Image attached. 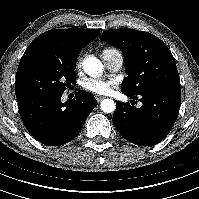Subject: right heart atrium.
I'll list each match as a JSON object with an SVG mask.
<instances>
[{
	"label": "right heart atrium",
	"mask_w": 199,
	"mask_h": 199,
	"mask_svg": "<svg viewBox=\"0 0 199 199\" xmlns=\"http://www.w3.org/2000/svg\"><path fill=\"white\" fill-rule=\"evenodd\" d=\"M81 61H82V59L80 58V59L78 60V62H77V67H80V66H81Z\"/></svg>",
	"instance_id": "d8ad5b80"
}]
</instances>
